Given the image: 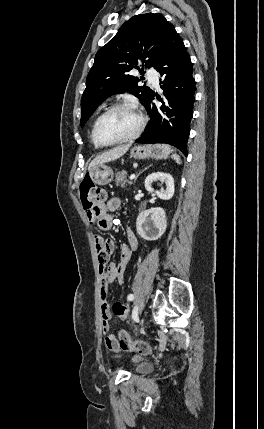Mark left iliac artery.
<instances>
[{"mask_svg":"<svg viewBox=\"0 0 264 429\" xmlns=\"http://www.w3.org/2000/svg\"><path fill=\"white\" fill-rule=\"evenodd\" d=\"M127 299L129 301H132L134 299V295L133 294H129L128 297H127Z\"/></svg>","mask_w":264,"mask_h":429,"instance_id":"left-iliac-artery-1","label":"left iliac artery"}]
</instances>
